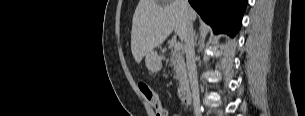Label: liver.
I'll return each mask as SVG.
<instances>
[{"label":"liver","instance_id":"obj_1","mask_svg":"<svg viewBox=\"0 0 305 116\" xmlns=\"http://www.w3.org/2000/svg\"><path fill=\"white\" fill-rule=\"evenodd\" d=\"M196 19L197 13L189 6L187 14L182 0H140L132 20L131 51L135 61L161 45L174 30L185 39L186 19Z\"/></svg>","mask_w":305,"mask_h":116}]
</instances>
